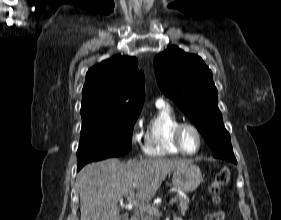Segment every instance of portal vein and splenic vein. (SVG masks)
Segmentation results:
<instances>
[{"label": "portal vein and splenic vein", "instance_id": "portal-vein-and-splenic-vein-1", "mask_svg": "<svg viewBox=\"0 0 281 220\" xmlns=\"http://www.w3.org/2000/svg\"><path fill=\"white\" fill-rule=\"evenodd\" d=\"M128 199H129L130 201H132V203H133L137 208H139L141 211H145V212H148V213H151V214H153V213H154V214H160L159 211L156 209V207L144 205V204L140 203L139 201L135 200V199H134V193H130ZM176 200H177V199H176L175 197L172 198V199H170L169 205H172L173 203H175Z\"/></svg>", "mask_w": 281, "mask_h": 220}]
</instances>
